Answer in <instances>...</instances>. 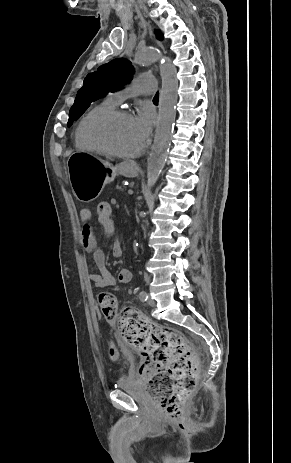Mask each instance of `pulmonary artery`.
<instances>
[{
	"label": "pulmonary artery",
	"instance_id": "1",
	"mask_svg": "<svg viewBox=\"0 0 291 463\" xmlns=\"http://www.w3.org/2000/svg\"><path fill=\"white\" fill-rule=\"evenodd\" d=\"M156 89L157 83L153 76L140 74L134 78L128 87L113 93L110 100L115 104H119L129 97L154 94Z\"/></svg>",
	"mask_w": 291,
	"mask_h": 463
}]
</instances>
